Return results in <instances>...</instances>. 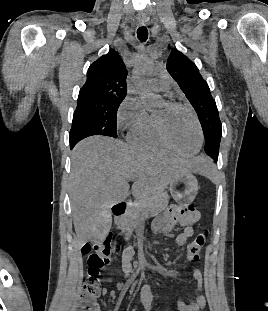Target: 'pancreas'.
Segmentation results:
<instances>
[{"label": "pancreas", "mask_w": 268, "mask_h": 311, "mask_svg": "<svg viewBox=\"0 0 268 311\" xmlns=\"http://www.w3.org/2000/svg\"><path fill=\"white\" fill-rule=\"evenodd\" d=\"M169 196L159 194L145 199L136 200L128 212L117 221L118 228L129 239L134 229L144 226V221L150 214H158L168 206ZM142 232V231H141Z\"/></svg>", "instance_id": "obj_1"}]
</instances>
